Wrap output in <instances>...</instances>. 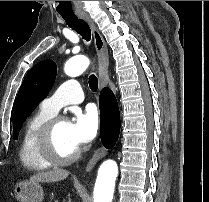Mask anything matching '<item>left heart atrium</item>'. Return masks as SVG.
<instances>
[{"label": "left heart atrium", "instance_id": "obj_1", "mask_svg": "<svg viewBox=\"0 0 209 202\" xmlns=\"http://www.w3.org/2000/svg\"><path fill=\"white\" fill-rule=\"evenodd\" d=\"M98 112L94 106L75 113L72 121L68 122L71 140L77 147L90 141L98 130Z\"/></svg>", "mask_w": 209, "mask_h": 202}]
</instances>
